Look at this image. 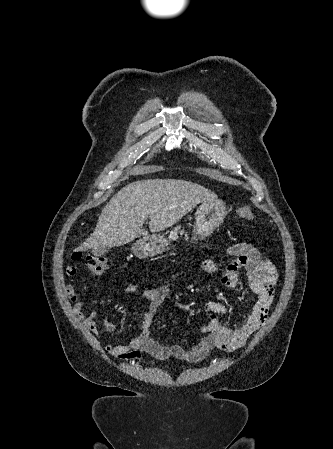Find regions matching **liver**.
I'll return each instance as SVG.
<instances>
[{
  "mask_svg": "<svg viewBox=\"0 0 333 449\" xmlns=\"http://www.w3.org/2000/svg\"><path fill=\"white\" fill-rule=\"evenodd\" d=\"M209 199H217V195L190 181L149 179L130 183L106 204L94 232L75 251L118 247L147 235L142 227L148 217L152 233L165 230Z\"/></svg>",
  "mask_w": 333,
  "mask_h": 449,
  "instance_id": "6515ba94",
  "label": "liver"
}]
</instances>
